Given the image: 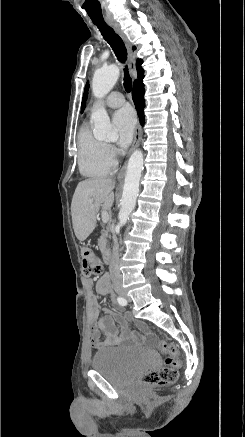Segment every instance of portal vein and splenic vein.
<instances>
[{"label": "portal vein and splenic vein", "mask_w": 245, "mask_h": 437, "mask_svg": "<svg viewBox=\"0 0 245 437\" xmlns=\"http://www.w3.org/2000/svg\"><path fill=\"white\" fill-rule=\"evenodd\" d=\"M89 202L92 203V202H93V199H89ZM101 216H102V221H103L104 223H107L108 220H109V214H108V212H107V211H103Z\"/></svg>", "instance_id": "obj_1"}]
</instances>
